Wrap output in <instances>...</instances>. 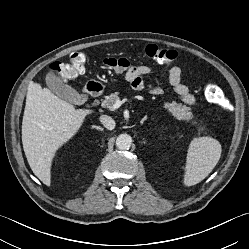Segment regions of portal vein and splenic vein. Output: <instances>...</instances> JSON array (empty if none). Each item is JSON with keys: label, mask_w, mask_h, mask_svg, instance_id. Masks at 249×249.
<instances>
[{"label": "portal vein and splenic vein", "mask_w": 249, "mask_h": 249, "mask_svg": "<svg viewBox=\"0 0 249 249\" xmlns=\"http://www.w3.org/2000/svg\"><path fill=\"white\" fill-rule=\"evenodd\" d=\"M121 104H122V101L117 100V101L114 103V105H113V110H114V109H118V108L121 106Z\"/></svg>", "instance_id": "portal-vein-and-splenic-vein-1"}]
</instances>
